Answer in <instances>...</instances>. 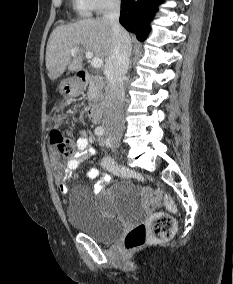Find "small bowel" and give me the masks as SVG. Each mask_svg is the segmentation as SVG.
Masks as SVG:
<instances>
[{"label":"small bowel","instance_id":"1","mask_svg":"<svg viewBox=\"0 0 233 284\" xmlns=\"http://www.w3.org/2000/svg\"><path fill=\"white\" fill-rule=\"evenodd\" d=\"M79 137L76 141V151L71 155L64 164L59 163L54 158L55 166V180L60 187L61 191L66 192L69 189L68 183L71 179L75 178V171L78 169L81 162L94 157L96 154L95 148L92 142L87 137L86 133L82 130L78 131ZM100 174V170L96 167L92 168L88 174L87 179L93 180ZM108 182V177L104 176L94 189L99 192Z\"/></svg>","mask_w":233,"mask_h":284}]
</instances>
